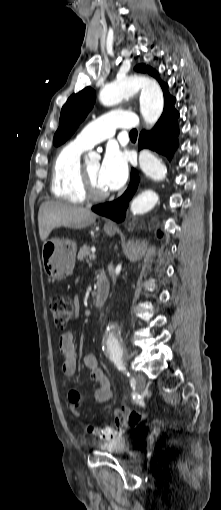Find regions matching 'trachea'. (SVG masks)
Wrapping results in <instances>:
<instances>
[{"instance_id":"1","label":"trachea","mask_w":221,"mask_h":510,"mask_svg":"<svg viewBox=\"0 0 221 510\" xmlns=\"http://www.w3.org/2000/svg\"><path fill=\"white\" fill-rule=\"evenodd\" d=\"M130 136H137V131L135 129L131 130L130 131Z\"/></svg>"}]
</instances>
